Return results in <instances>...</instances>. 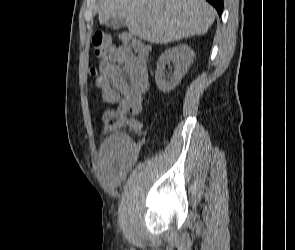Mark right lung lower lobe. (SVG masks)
I'll return each mask as SVG.
<instances>
[{"label":"right lung lower lobe","instance_id":"98d812e1","mask_svg":"<svg viewBox=\"0 0 295 250\" xmlns=\"http://www.w3.org/2000/svg\"><path fill=\"white\" fill-rule=\"evenodd\" d=\"M210 4H212L219 15H221L222 11H223V0H207Z\"/></svg>","mask_w":295,"mask_h":250}]
</instances>
